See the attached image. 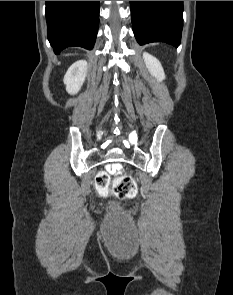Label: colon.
I'll list each match as a JSON object with an SVG mask.
<instances>
[{
	"label": "colon",
	"instance_id": "colon-1",
	"mask_svg": "<svg viewBox=\"0 0 233 295\" xmlns=\"http://www.w3.org/2000/svg\"><path fill=\"white\" fill-rule=\"evenodd\" d=\"M95 187L100 194H111L119 199H131L137 194V184L132 177L120 176L110 185V176L104 171L95 176Z\"/></svg>",
	"mask_w": 233,
	"mask_h": 295
}]
</instances>
